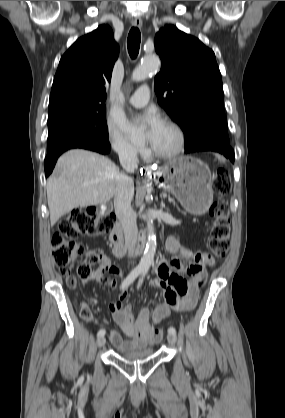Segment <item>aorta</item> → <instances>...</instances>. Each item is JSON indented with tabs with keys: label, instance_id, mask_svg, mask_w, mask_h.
Segmentation results:
<instances>
[{
	"label": "aorta",
	"instance_id": "obj_1",
	"mask_svg": "<svg viewBox=\"0 0 285 418\" xmlns=\"http://www.w3.org/2000/svg\"><path fill=\"white\" fill-rule=\"evenodd\" d=\"M160 66V60L156 55H147L145 56L141 63L134 69L132 73V80L133 81H143L145 80L150 73L158 70ZM111 118L113 122L117 125V127L127 134L130 139H135L139 135H141L142 130L136 129L130 125L129 121L127 120L124 112L120 109L114 108L111 112ZM157 247V240L156 234L154 232V226L152 219H148L147 221V242L146 247L143 252V256L139 262L138 268L142 272H148L156 252Z\"/></svg>",
	"mask_w": 285,
	"mask_h": 418
}]
</instances>
